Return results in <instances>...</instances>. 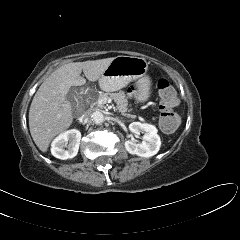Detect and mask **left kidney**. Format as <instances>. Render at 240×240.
I'll return each mask as SVG.
<instances>
[{"instance_id":"obj_1","label":"left kidney","mask_w":240,"mask_h":240,"mask_svg":"<svg viewBox=\"0 0 240 240\" xmlns=\"http://www.w3.org/2000/svg\"><path fill=\"white\" fill-rule=\"evenodd\" d=\"M129 130L137 135L144 133L141 143H136L134 140L125 141V148L130 154L145 158L157 154L161 146V140L155 126L141 122H133L129 125Z\"/></svg>"}]
</instances>
